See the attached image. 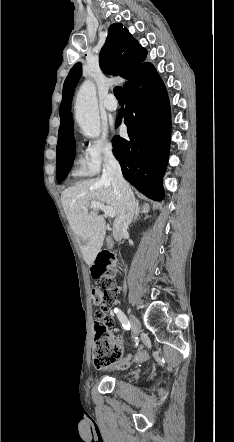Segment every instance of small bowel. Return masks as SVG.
<instances>
[{
    "label": "small bowel",
    "instance_id": "1",
    "mask_svg": "<svg viewBox=\"0 0 234 442\" xmlns=\"http://www.w3.org/2000/svg\"><path fill=\"white\" fill-rule=\"evenodd\" d=\"M114 325L115 322L112 314H96L94 321V328L96 331H107L108 328H113ZM116 341L119 343L120 346L122 345L121 338H117Z\"/></svg>",
    "mask_w": 234,
    "mask_h": 442
}]
</instances>
